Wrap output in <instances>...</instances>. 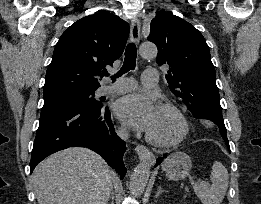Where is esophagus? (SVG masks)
I'll return each instance as SVG.
<instances>
[{
    "label": "esophagus",
    "instance_id": "esophagus-1",
    "mask_svg": "<svg viewBox=\"0 0 261 204\" xmlns=\"http://www.w3.org/2000/svg\"><path fill=\"white\" fill-rule=\"evenodd\" d=\"M130 39L133 43H138L140 39V21L135 18L130 26ZM135 151L140 160L153 164L155 162L154 154L144 145H137Z\"/></svg>",
    "mask_w": 261,
    "mask_h": 204
}]
</instances>
